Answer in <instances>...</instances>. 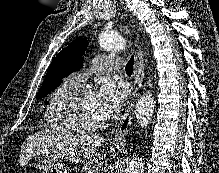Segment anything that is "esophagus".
Listing matches in <instances>:
<instances>
[{"label":"esophagus","mask_w":219,"mask_h":173,"mask_svg":"<svg viewBox=\"0 0 219 173\" xmlns=\"http://www.w3.org/2000/svg\"><path fill=\"white\" fill-rule=\"evenodd\" d=\"M143 78H144V59L142 52L138 50L135 57L134 90L131 95V99L128 102V105L125 109V112L122 116L120 124L115 131L112 141L115 146H124L126 144V136L130 129L132 118H133L135 98L137 96L139 89L142 86Z\"/></svg>","instance_id":"obj_1"}]
</instances>
